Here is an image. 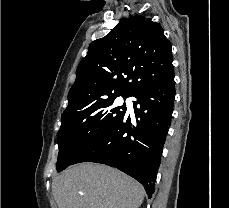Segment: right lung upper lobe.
I'll return each instance as SVG.
<instances>
[{"label":"right lung upper lobe","mask_w":229,"mask_h":208,"mask_svg":"<svg viewBox=\"0 0 229 208\" xmlns=\"http://www.w3.org/2000/svg\"><path fill=\"white\" fill-rule=\"evenodd\" d=\"M172 60L171 43L158 23L139 15L122 19L89 45L62 118L102 99L136 95L168 76Z\"/></svg>","instance_id":"1"}]
</instances>
